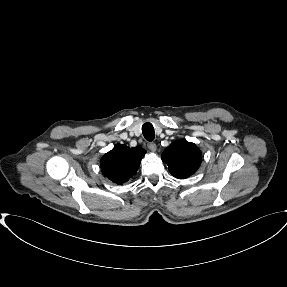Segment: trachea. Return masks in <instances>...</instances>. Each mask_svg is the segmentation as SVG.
Wrapping results in <instances>:
<instances>
[{
	"mask_svg": "<svg viewBox=\"0 0 287 287\" xmlns=\"http://www.w3.org/2000/svg\"><path fill=\"white\" fill-rule=\"evenodd\" d=\"M142 133L147 141H153L155 137L154 127L151 123L147 122L142 126Z\"/></svg>",
	"mask_w": 287,
	"mask_h": 287,
	"instance_id": "trachea-1",
	"label": "trachea"
}]
</instances>
